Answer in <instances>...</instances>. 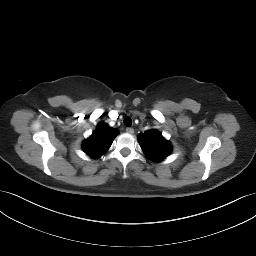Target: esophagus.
I'll use <instances>...</instances> for the list:
<instances>
[{"instance_id": "1", "label": "esophagus", "mask_w": 256, "mask_h": 256, "mask_svg": "<svg viewBox=\"0 0 256 256\" xmlns=\"http://www.w3.org/2000/svg\"><path fill=\"white\" fill-rule=\"evenodd\" d=\"M126 132L129 133V134H133L134 129L133 128H126Z\"/></svg>"}]
</instances>
